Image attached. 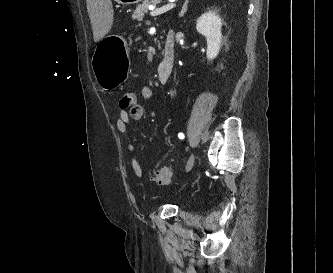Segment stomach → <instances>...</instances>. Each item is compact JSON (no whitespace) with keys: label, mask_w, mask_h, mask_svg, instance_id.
Masks as SVG:
<instances>
[{"label":"stomach","mask_w":333,"mask_h":273,"mask_svg":"<svg viewBox=\"0 0 333 273\" xmlns=\"http://www.w3.org/2000/svg\"><path fill=\"white\" fill-rule=\"evenodd\" d=\"M141 0H117L122 5L136 4ZM95 81L104 89L121 85L130 69L127 45L122 36L110 35L100 41L93 56Z\"/></svg>","instance_id":"1"}]
</instances>
